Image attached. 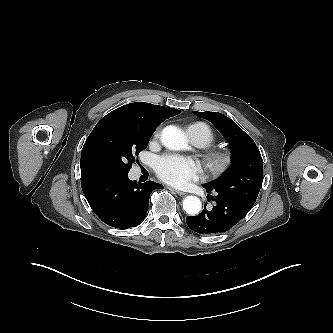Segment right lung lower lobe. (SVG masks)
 Segmentation results:
<instances>
[{"mask_svg": "<svg viewBox=\"0 0 333 333\" xmlns=\"http://www.w3.org/2000/svg\"><path fill=\"white\" fill-rule=\"evenodd\" d=\"M81 187L94 213L109 226L123 229L143 222L150 193L163 188L153 181H131L128 173L98 174L81 181Z\"/></svg>", "mask_w": 333, "mask_h": 333, "instance_id": "1", "label": "right lung lower lobe"}]
</instances>
